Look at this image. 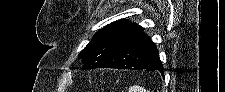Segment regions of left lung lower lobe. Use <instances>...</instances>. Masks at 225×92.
I'll use <instances>...</instances> for the list:
<instances>
[{"instance_id": "0a47b994", "label": "left lung lower lobe", "mask_w": 225, "mask_h": 92, "mask_svg": "<svg viewBox=\"0 0 225 92\" xmlns=\"http://www.w3.org/2000/svg\"><path fill=\"white\" fill-rule=\"evenodd\" d=\"M96 68L160 71L164 77L163 66L155 43L143 32Z\"/></svg>"}]
</instances>
